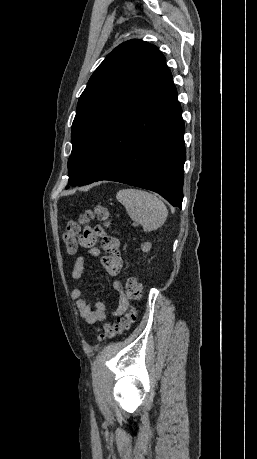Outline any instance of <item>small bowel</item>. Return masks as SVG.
Listing matches in <instances>:
<instances>
[{
	"instance_id": "c3829d8e",
	"label": "small bowel",
	"mask_w": 257,
	"mask_h": 459,
	"mask_svg": "<svg viewBox=\"0 0 257 459\" xmlns=\"http://www.w3.org/2000/svg\"><path fill=\"white\" fill-rule=\"evenodd\" d=\"M84 225L86 226L87 224L85 223ZM83 232L84 234L81 233V229L79 227H73L71 229V234L73 236L79 237L80 247H86L89 256H100L101 249L95 243L98 238L101 239V248L105 251V254L100 258L101 265L110 276H117L121 272L123 266V261L119 250V239L117 237L108 235L101 226H96L89 229L86 228ZM85 267V258L82 256L77 257L71 272L72 279H81L84 275ZM112 286L113 289L119 294V302L117 308L110 313L111 315L117 316L123 314L127 310L129 302L123 292L122 284L119 280H114ZM71 297L76 301V309L79 316L87 323L94 324L101 322L106 318L108 307L105 302H90L87 298L84 297L83 290L78 287L71 291Z\"/></svg>"
}]
</instances>
